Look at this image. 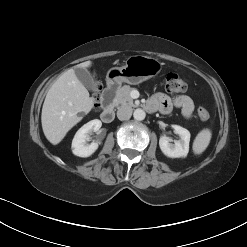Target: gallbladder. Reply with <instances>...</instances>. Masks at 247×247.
<instances>
[{
    "label": "gallbladder",
    "mask_w": 247,
    "mask_h": 247,
    "mask_svg": "<svg viewBox=\"0 0 247 247\" xmlns=\"http://www.w3.org/2000/svg\"><path fill=\"white\" fill-rule=\"evenodd\" d=\"M77 78L80 82L89 90L93 91L96 88V82L93 77L89 73V71L85 68H75L74 69Z\"/></svg>",
    "instance_id": "1"
}]
</instances>
